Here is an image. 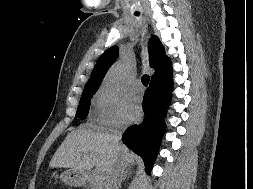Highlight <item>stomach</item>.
<instances>
[{
  "label": "stomach",
  "instance_id": "stomach-1",
  "mask_svg": "<svg viewBox=\"0 0 253 189\" xmlns=\"http://www.w3.org/2000/svg\"><path fill=\"white\" fill-rule=\"evenodd\" d=\"M89 179V174L84 171L69 169L61 173L60 180L69 186H80Z\"/></svg>",
  "mask_w": 253,
  "mask_h": 189
}]
</instances>
